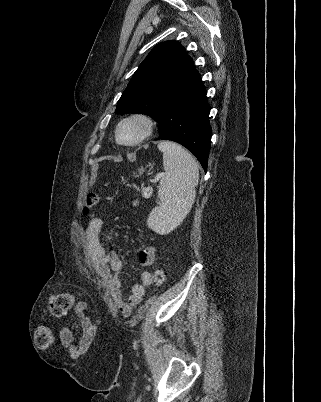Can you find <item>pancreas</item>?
<instances>
[{"mask_svg": "<svg viewBox=\"0 0 321 402\" xmlns=\"http://www.w3.org/2000/svg\"><path fill=\"white\" fill-rule=\"evenodd\" d=\"M137 203H138V201H134V202H133L134 205L137 204Z\"/></svg>", "mask_w": 321, "mask_h": 402, "instance_id": "1", "label": "pancreas"}]
</instances>
